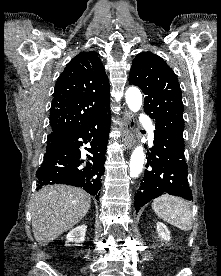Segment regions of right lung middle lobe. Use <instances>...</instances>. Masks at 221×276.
I'll return each mask as SVG.
<instances>
[{"instance_id":"1","label":"right lung middle lobe","mask_w":221,"mask_h":276,"mask_svg":"<svg viewBox=\"0 0 221 276\" xmlns=\"http://www.w3.org/2000/svg\"><path fill=\"white\" fill-rule=\"evenodd\" d=\"M68 137H48L47 149L58 147L63 145L67 141Z\"/></svg>"}]
</instances>
